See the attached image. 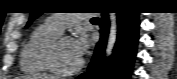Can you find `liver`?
<instances>
[{
  "label": "liver",
  "instance_id": "obj_1",
  "mask_svg": "<svg viewBox=\"0 0 177 79\" xmlns=\"http://www.w3.org/2000/svg\"><path fill=\"white\" fill-rule=\"evenodd\" d=\"M28 79H55L54 76H33L28 77Z\"/></svg>",
  "mask_w": 177,
  "mask_h": 79
}]
</instances>
